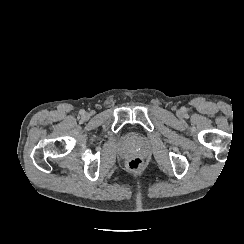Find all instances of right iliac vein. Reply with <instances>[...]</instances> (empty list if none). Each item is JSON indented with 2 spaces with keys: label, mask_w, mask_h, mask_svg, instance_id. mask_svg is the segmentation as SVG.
<instances>
[{
  "label": "right iliac vein",
  "mask_w": 244,
  "mask_h": 244,
  "mask_svg": "<svg viewBox=\"0 0 244 244\" xmlns=\"http://www.w3.org/2000/svg\"><path fill=\"white\" fill-rule=\"evenodd\" d=\"M84 118H88V115H84Z\"/></svg>",
  "instance_id": "right-iliac-vein-1"
}]
</instances>
